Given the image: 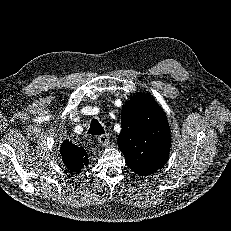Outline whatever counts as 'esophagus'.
Segmentation results:
<instances>
[{
    "label": "esophagus",
    "mask_w": 231,
    "mask_h": 231,
    "mask_svg": "<svg viewBox=\"0 0 231 231\" xmlns=\"http://www.w3.org/2000/svg\"><path fill=\"white\" fill-rule=\"evenodd\" d=\"M97 141L100 145L106 146L109 144L110 137L108 134L100 135L98 136Z\"/></svg>",
    "instance_id": "1"
}]
</instances>
